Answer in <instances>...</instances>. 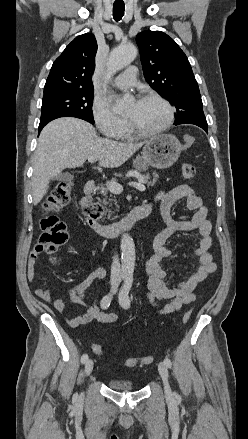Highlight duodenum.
Masks as SVG:
<instances>
[{
  "mask_svg": "<svg viewBox=\"0 0 248 439\" xmlns=\"http://www.w3.org/2000/svg\"><path fill=\"white\" fill-rule=\"evenodd\" d=\"M96 190V183L92 180L87 181L83 188V195L79 200V206L81 208L86 223L94 232L99 235H119L125 230L132 227L138 221L146 218L151 212V210L145 205L136 206L132 208L124 218L117 222L101 223L99 221L101 208L91 201V197Z\"/></svg>",
  "mask_w": 248,
  "mask_h": 439,
  "instance_id": "duodenum-1",
  "label": "duodenum"
}]
</instances>
